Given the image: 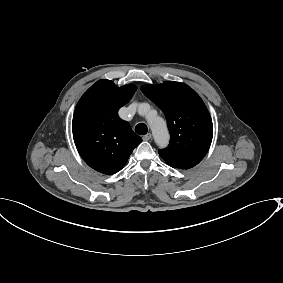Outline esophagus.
Returning a JSON list of instances; mask_svg holds the SVG:
<instances>
[{
  "instance_id": "esophagus-1",
  "label": "esophagus",
  "mask_w": 283,
  "mask_h": 283,
  "mask_svg": "<svg viewBox=\"0 0 283 283\" xmlns=\"http://www.w3.org/2000/svg\"><path fill=\"white\" fill-rule=\"evenodd\" d=\"M151 137H152V134H151V133H147L146 135H144V136L142 137V139H143L144 141H148V140L151 139Z\"/></svg>"
}]
</instances>
